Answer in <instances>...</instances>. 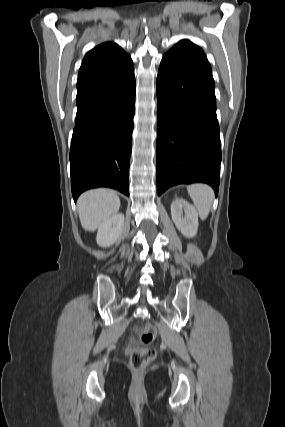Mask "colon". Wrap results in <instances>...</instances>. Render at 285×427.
Listing matches in <instances>:
<instances>
[{"label":"colon","mask_w":285,"mask_h":427,"mask_svg":"<svg viewBox=\"0 0 285 427\" xmlns=\"http://www.w3.org/2000/svg\"><path fill=\"white\" fill-rule=\"evenodd\" d=\"M156 329L151 324L139 327L130 338L133 347L130 353V366L135 372H141L155 358V350L149 345L154 341Z\"/></svg>","instance_id":"5ec220e1"}]
</instances>
